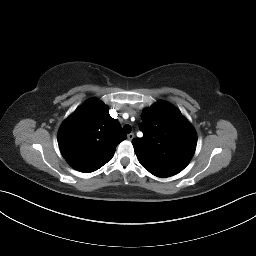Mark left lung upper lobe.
<instances>
[{
    "instance_id": "left-lung-upper-lobe-1",
    "label": "left lung upper lobe",
    "mask_w": 256,
    "mask_h": 256,
    "mask_svg": "<svg viewBox=\"0 0 256 256\" xmlns=\"http://www.w3.org/2000/svg\"><path fill=\"white\" fill-rule=\"evenodd\" d=\"M142 138L132 141L141 165L151 174L165 178L182 171L191 160L197 136L181 112L160 101L141 115Z\"/></svg>"
}]
</instances>
